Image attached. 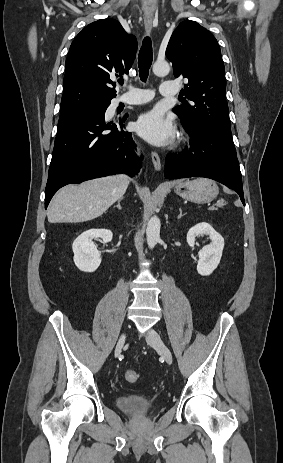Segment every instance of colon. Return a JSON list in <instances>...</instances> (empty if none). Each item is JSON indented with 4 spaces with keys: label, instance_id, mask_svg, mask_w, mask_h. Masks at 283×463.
Instances as JSON below:
<instances>
[{
    "label": "colon",
    "instance_id": "colon-1",
    "mask_svg": "<svg viewBox=\"0 0 283 463\" xmlns=\"http://www.w3.org/2000/svg\"><path fill=\"white\" fill-rule=\"evenodd\" d=\"M125 380L130 383H135L139 379V375L135 370H127L124 373Z\"/></svg>",
    "mask_w": 283,
    "mask_h": 463
}]
</instances>
